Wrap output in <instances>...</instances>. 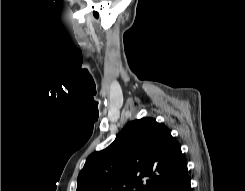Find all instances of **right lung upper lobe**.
<instances>
[{
    "label": "right lung upper lobe",
    "instance_id": "right-lung-upper-lobe-1",
    "mask_svg": "<svg viewBox=\"0 0 245 191\" xmlns=\"http://www.w3.org/2000/svg\"><path fill=\"white\" fill-rule=\"evenodd\" d=\"M185 167L167 127L142 118L126 124L110 146L87 158L76 191H155Z\"/></svg>",
    "mask_w": 245,
    "mask_h": 191
}]
</instances>
